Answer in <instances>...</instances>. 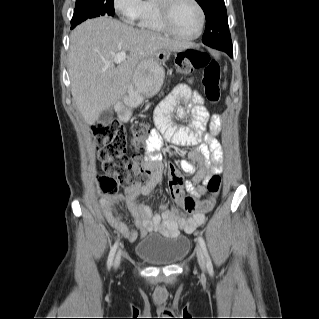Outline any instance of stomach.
Returning <instances> with one entry per match:
<instances>
[{
  "instance_id": "0dacf381",
  "label": "stomach",
  "mask_w": 319,
  "mask_h": 319,
  "mask_svg": "<svg viewBox=\"0 0 319 319\" xmlns=\"http://www.w3.org/2000/svg\"><path fill=\"white\" fill-rule=\"evenodd\" d=\"M169 55V50L161 49L155 56L145 59L136 67L133 84L138 95L137 99L153 96L159 91L164 79L162 64Z\"/></svg>"
}]
</instances>
